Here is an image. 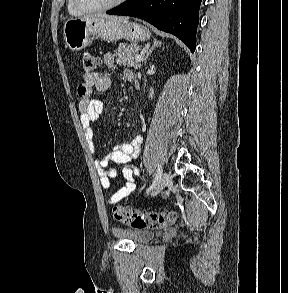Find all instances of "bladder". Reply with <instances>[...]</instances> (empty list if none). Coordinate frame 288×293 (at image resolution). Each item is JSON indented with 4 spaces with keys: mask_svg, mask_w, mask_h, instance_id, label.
<instances>
[{
    "mask_svg": "<svg viewBox=\"0 0 288 293\" xmlns=\"http://www.w3.org/2000/svg\"><path fill=\"white\" fill-rule=\"evenodd\" d=\"M112 232L116 237L131 240L136 244L146 243L155 236L153 231L144 228L127 229L114 227Z\"/></svg>",
    "mask_w": 288,
    "mask_h": 293,
    "instance_id": "obj_1",
    "label": "bladder"
}]
</instances>
